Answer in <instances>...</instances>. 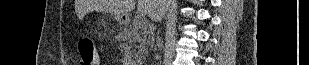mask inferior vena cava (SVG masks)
Instances as JSON below:
<instances>
[{
  "label": "inferior vena cava",
  "instance_id": "1",
  "mask_svg": "<svg viewBox=\"0 0 309 65\" xmlns=\"http://www.w3.org/2000/svg\"><path fill=\"white\" fill-rule=\"evenodd\" d=\"M162 1L165 2V11H166L169 5V0H162Z\"/></svg>",
  "mask_w": 309,
  "mask_h": 65
}]
</instances>
